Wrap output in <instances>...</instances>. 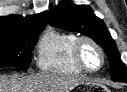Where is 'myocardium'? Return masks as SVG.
<instances>
[{
    "label": "myocardium",
    "instance_id": "1",
    "mask_svg": "<svg viewBox=\"0 0 127 92\" xmlns=\"http://www.w3.org/2000/svg\"><path fill=\"white\" fill-rule=\"evenodd\" d=\"M85 44H90L92 45L99 53H100V56H101V63H100V66L97 68V69H89L85 63H84V60H83V57H82V48ZM73 59H74V62L76 63V65L84 72H87V73H95V72H98L100 71L103 66L105 65V62H106V54L102 48V46L96 42L94 39L90 38V37H87V36H82V37H79L75 44H74V48H73Z\"/></svg>",
    "mask_w": 127,
    "mask_h": 92
}]
</instances>
